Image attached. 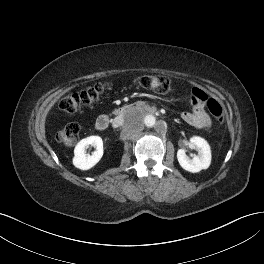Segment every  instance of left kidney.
I'll return each mask as SVG.
<instances>
[{
  "mask_svg": "<svg viewBox=\"0 0 264 264\" xmlns=\"http://www.w3.org/2000/svg\"><path fill=\"white\" fill-rule=\"evenodd\" d=\"M190 142L198 150V155L190 159L184 149H179L177 151V159L180 166L192 173L207 169L211 163V149L208 142L199 136L191 137Z\"/></svg>",
  "mask_w": 264,
  "mask_h": 264,
  "instance_id": "1",
  "label": "left kidney"
}]
</instances>
